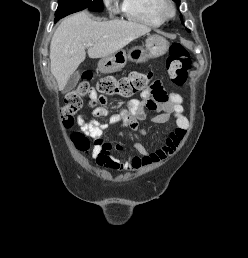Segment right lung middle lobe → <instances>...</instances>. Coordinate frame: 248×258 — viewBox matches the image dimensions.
Here are the masks:
<instances>
[{"label":"right lung middle lobe","instance_id":"1","mask_svg":"<svg viewBox=\"0 0 248 258\" xmlns=\"http://www.w3.org/2000/svg\"><path fill=\"white\" fill-rule=\"evenodd\" d=\"M86 8L91 11L101 12L103 10V0H58L55 22L69 14Z\"/></svg>","mask_w":248,"mask_h":258}]
</instances>
